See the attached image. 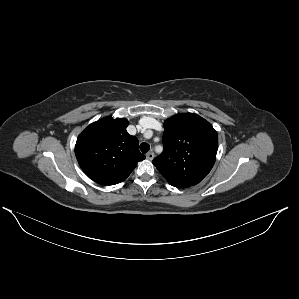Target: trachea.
<instances>
[{
	"label": "trachea",
	"mask_w": 299,
	"mask_h": 299,
	"mask_svg": "<svg viewBox=\"0 0 299 299\" xmlns=\"http://www.w3.org/2000/svg\"><path fill=\"white\" fill-rule=\"evenodd\" d=\"M150 149V145L148 143H141L140 144V150L143 152V153H146L148 152Z\"/></svg>",
	"instance_id": "3493384b"
}]
</instances>
